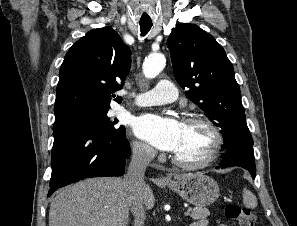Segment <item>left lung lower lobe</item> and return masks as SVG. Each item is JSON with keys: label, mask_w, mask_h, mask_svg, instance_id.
I'll list each match as a JSON object with an SVG mask.
<instances>
[{"label": "left lung lower lobe", "mask_w": 297, "mask_h": 226, "mask_svg": "<svg viewBox=\"0 0 297 226\" xmlns=\"http://www.w3.org/2000/svg\"><path fill=\"white\" fill-rule=\"evenodd\" d=\"M239 166L248 170L252 176L255 178L256 167L254 161L253 149L248 150H227L224 152L223 160L220 163L221 168ZM219 168V167H217Z\"/></svg>", "instance_id": "left-lung-lower-lobe-1"}]
</instances>
